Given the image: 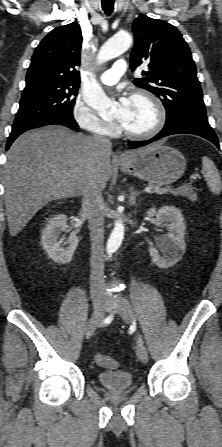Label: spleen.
<instances>
[{
    "label": "spleen",
    "instance_id": "obj_1",
    "mask_svg": "<svg viewBox=\"0 0 222 447\" xmlns=\"http://www.w3.org/2000/svg\"><path fill=\"white\" fill-rule=\"evenodd\" d=\"M202 174L207 181L210 191L213 194H219L222 190L220 174L213 161L206 156L202 158Z\"/></svg>",
    "mask_w": 222,
    "mask_h": 447
}]
</instances>
